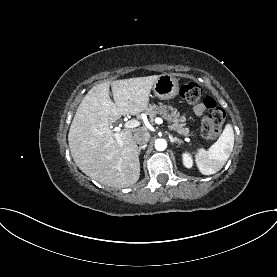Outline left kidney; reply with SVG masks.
Here are the masks:
<instances>
[{
	"label": "left kidney",
	"mask_w": 277,
	"mask_h": 277,
	"mask_svg": "<svg viewBox=\"0 0 277 277\" xmlns=\"http://www.w3.org/2000/svg\"><path fill=\"white\" fill-rule=\"evenodd\" d=\"M182 159H183V164L186 168H192L193 160L189 153H183Z\"/></svg>",
	"instance_id": "left-kidney-1"
}]
</instances>
